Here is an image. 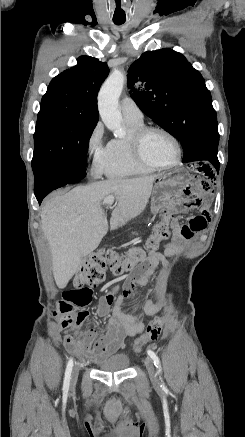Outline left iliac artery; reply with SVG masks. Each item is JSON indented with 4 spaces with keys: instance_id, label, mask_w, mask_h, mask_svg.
Masks as SVG:
<instances>
[{
    "instance_id": "1",
    "label": "left iliac artery",
    "mask_w": 245,
    "mask_h": 437,
    "mask_svg": "<svg viewBox=\"0 0 245 437\" xmlns=\"http://www.w3.org/2000/svg\"><path fill=\"white\" fill-rule=\"evenodd\" d=\"M147 353L150 356V358L153 360L154 365L158 368L159 372H161V363H160V360H159L158 356L156 355V353L152 350H148ZM161 387L163 389H165V385H164L162 379H161Z\"/></svg>"
}]
</instances>
